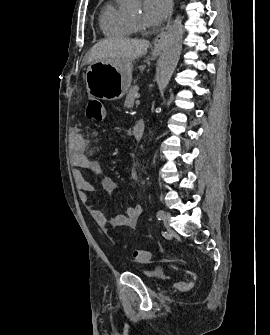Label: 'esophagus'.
<instances>
[{
    "label": "esophagus",
    "instance_id": "obj_1",
    "mask_svg": "<svg viewBox=\"0 0 270 335\" xmlns=\"http://www.w3.org/2000/svg\"><path fill=\"white\" fill-rule=\"evenodd\" d=\"M173 6H174V1L168 0V10H167V14L165 16L164 22H163V26L161 28L160 33H158L157 37L154 39V42H153L155 50L162 49L165 44V40L167 37L170 20H171V16L173 12Z\"/></svg>",
    "mask_w": 270,
    "mask_h": 335
}]
</instances>
